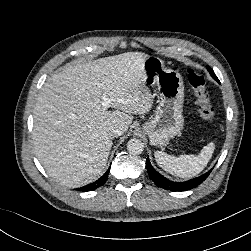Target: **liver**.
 <instances>
[{
  "label": "liver",
  "mask_w": 251,
  "mask_h": 251,
  "mask_svg": "<svg viewBox=\"0 0 251 251\" xmlns=\"http://www.w3.org/2000/svg\"><path fill=\"white\" fill-rule=\"evenodd\" d=\"M147 57L127 52L71 62L45 82L34 108V148L58 183L76 188L99 178L113 145L111 127L124 133L132 114L150 111L153 99L143 71ZM105 98L111 100L107 108Z\"/></svg>",
  "instance_id": "obj_1"
}]
</instances>
